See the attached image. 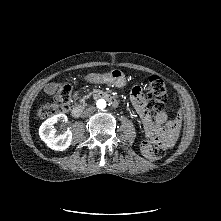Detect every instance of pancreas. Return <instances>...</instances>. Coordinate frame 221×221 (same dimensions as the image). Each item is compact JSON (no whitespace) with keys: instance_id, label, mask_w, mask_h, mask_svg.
Instances as JSON below:
<instances>
[{"instance_id":"obj_1","label":"pancreas","mask_w":221,"mask_h":221,"mask_svg":"<svg viewBox=\"0 0 221 221\" xmlns=\"http://www.w3.org/2000/svg\"><path fill=\"white\" fill-rule=\"evenodd\" d=\"M89 98V95L84 96L81 100L85 101V99Z\"/></svg>"}]
</instances>
